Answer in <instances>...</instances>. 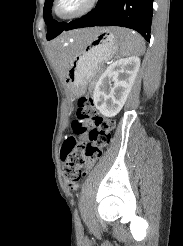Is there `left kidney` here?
I'll list each match as a JSON object with an SVG mask.
<instances>
[{
    "instance_id": "obj_1",
    "label": "left kidney",
    "mask_w": 183,
    "mask_h": 246,
    "mask_svg": "<svg viewBox=\"0 0 183 246\" xmlns=\"http://www.w3.org/2000/svg\"><path fill=\"white\" fill-rule=\"evenodd\" d=\"M140 68L137 56L121 58L110 64L96 83L93 99L105 117L116 116L124 106Z\"/></svg>"
}]
</instances>
